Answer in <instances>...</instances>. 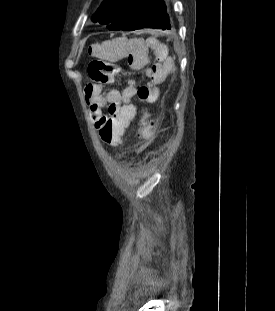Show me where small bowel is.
I'll use <instances>...</instances> for the list:
<instances>
[{"label":"small bowel","instance_id":"1","mask_svg":"<svg viewBox=\"0 0 275 311\" xmlns=\"http://www.w3.org/2000/svg\"><path fill=\"white\" fill-rule=\"evenodd\" d=\"M100 53L105 57L127 56L129 66L139 67L140 72H147L150 62H155L151 65L153 73L150 79L151 83L156 86L174 74L175 62L173 56L169 55L168 46L160 43L155 37H149L145 42L141 39L128 40L125 37L105 41L100 47ZM113 82L114 79L111 78L105 83H89L85 87V98L97 129L100 128L102 119L129 118L130 125L136 116V107L132 102L136 95L135 83L130 80L122 91L104 89L106 84ZM105 109L108 112H104ZM124 131L121 130L122 133ZM134 131L133 137L136 143H151L152 139L157 137V123L153 121V118H142L138 126H135Z\"/></svg>","mask_w":275,"mask_h":311}]
</instances>
